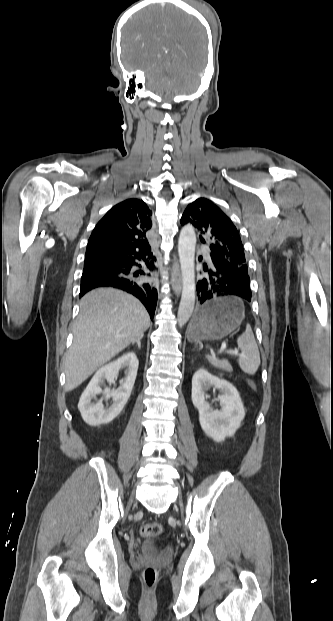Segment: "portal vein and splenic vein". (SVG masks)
<instances>
[{
    "instance_id": "18ae733b",
    "label": "portal vein and splenic vein",
    "mask_w": 333,
    "mask_h": 621,
    "mask_svg": "<svg viewBox=\"0 0 333 621\" xmlns=\"http://www.w3.org/2000/svg\"><path fill=\"white\" fill-rule=\"evenodd\" d=\"M220 352H226V353H229V354H234V355H236V356H237V355H239L238 350H226V344H225V343H223V344L221 345V348H220V350H219V353H220ZM212 355H214V353H212Z\"/></svg>"
}]
</instances>
